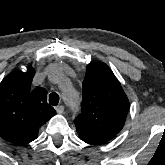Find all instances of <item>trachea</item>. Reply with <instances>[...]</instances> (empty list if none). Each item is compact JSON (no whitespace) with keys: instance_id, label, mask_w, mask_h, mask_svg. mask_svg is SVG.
Returning <instances> with one entry per match:
<instances>
[{"instance_id":"trachea-1","label":"trachea","mask_w":165,"mask_h":165,"mask_svg":"<svg viewBox=\"0 0 165 165\" xmlns=\"http://www.w3.org/2000/svg\"><path fill=\"white\" fill-rule=\"evenodd\" d=\"M49 103L53 106L58 105L59 103V95L57 93H51L49 95Z\"/></svg>"}]
</instances>
